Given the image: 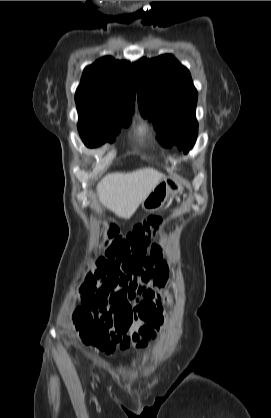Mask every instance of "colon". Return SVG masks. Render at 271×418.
I'll return each mask as SVG.
<instances>
[{
  "mask_svg": "<svg viewBox=\"0 0 271 418\" xmlns=\"http://www.w3.org/2000/svg\"><path fill=\"white\" fill-rule=\"evenodd\" d=\"M161 220L158 217H149L136 224L126 234H121L116 228H110L109 238L111 244L106 254L117 261L138 260L142 256H148V247L151 238L159 228ZM153 246V245H152ZM97 292L95 294V297ZM98 305V304H96ZM137 314H143L138 310ZM98 314H92L91 310L78 309L74 314V321L79 335L85 344L102 348L110 339L109 330L105 323H98Z\"/></svg>",
  "mask_w": 271,
  "mask_h": 418,
  "instance_id": "1",
  "label": "colon"
}]
</instances>
